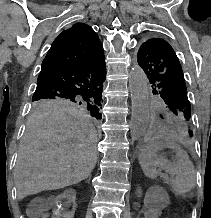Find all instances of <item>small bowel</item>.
<instances>
[{"instance_id": "1", "label": "small bowel", "mask_w": 211, "mask_h": 218, "mask_svg": "<svg viewBox=\"0 0 211 218\" xmlns=\"http://www.w3.org/2000/svg\"><path fill=\"white\" fill-rule=\"evenodd\" d=\"M161 212L158 208H149L145 211L143 218H159ZM46 218H68L69 213L62 208H53L45 214Z\"/></svg>"}]
</instances>
